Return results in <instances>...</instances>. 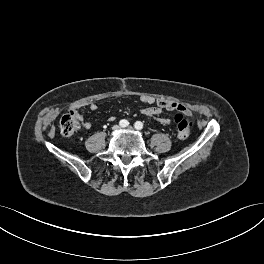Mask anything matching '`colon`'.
Listing matches in <instances>:
<instances>
[{"label": "colon", "instance_id": "colon-1", "mask_svg": "<svg viewBox=\"0 0 264 264\" xmlns=\"http://www.w3.org/2000/svg\"><path fill=\"white\" fill-rule=\"evenodd\" d=\"M174 121L177 127V134L180 138L185 139L190 135L193 122L185 117L183 110L178 109L174 114ZM60 131L65 137L74 135L80 128L78 115L75 111H67L60 119Z\"/></svg>", "mask_w": 264, "mask_h": 264}]
</instances>
